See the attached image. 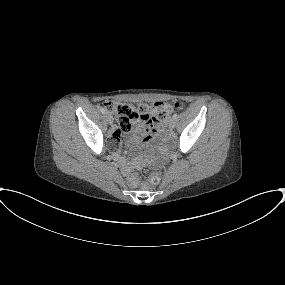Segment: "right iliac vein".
Returning a JSON list of instances; mask_svg holds the SVG:
<instances>
[{"instance_id": "1", "label": "right iliac vein", "mask_w": 285, "mask_h": 285, "mask_svg": "<svg viewBox=\"0 0 285 285\" xmlns=\"http://www.w3.org/2000/svg\"><path fill=\"white\" fill-rule=\"evenodd\" d=\"M106 120L110 125L113 123V117L110 113L106 114Z\"/></svg>"}]
</instances>
